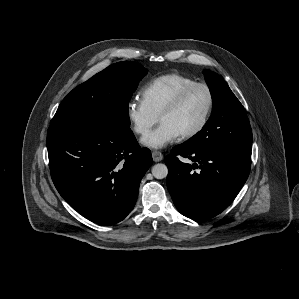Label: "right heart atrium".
<instances>
[{
    "label": "right heart atrium",
    "instance_id": "right-heart-atrium-1",
    "mask_svg": "<svg viewBox=\"0 0 299 299\" xmlns=\"http://www.w3.org/2000/svg\"><path fill=\"white\" fill-rule=\"evenodd\" d=\"M126 115L133 131L140 136L146 135L158 121V116L140 99L127 103Z\"/></svg>",
    "mask_w": 299,
    "mask_h": 299
}]
</instances>
